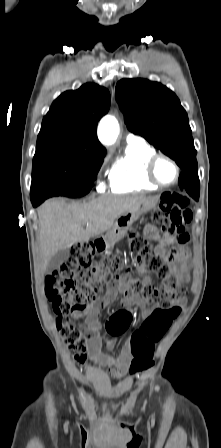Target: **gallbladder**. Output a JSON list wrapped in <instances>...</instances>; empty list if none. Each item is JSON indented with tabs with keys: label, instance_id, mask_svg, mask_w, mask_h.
<instances>
[{
	"label": "gallbladder",
	"instance_id": "1",
	"mask_svg": "<svg viewBox=\"0 0 221 448\" xmlns=\"http://www.w3.org/2000/svg\"><path fill=\"white\" fill-rule=\"evenodd\" d=\"M69 257V249L62 248L60 249L49 261L47 265V272H53L58 269L59 266L68 259Z\"/></svg>",
	"mask_w": 221,
	"mask_h": 448
}]
</instances>
